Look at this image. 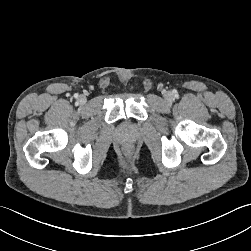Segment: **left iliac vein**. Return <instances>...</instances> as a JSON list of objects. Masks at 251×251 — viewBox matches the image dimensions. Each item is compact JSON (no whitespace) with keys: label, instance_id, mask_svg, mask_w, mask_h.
<instances>
[{"label":"left iliac vein","instance_id":"obj_1","mask_svg":"<svg viewBox=\"0 0 251 251\" xmlns=\"http://www.w3.org/2000/svg\"><path fill=\"white\" fill-rule=\"evenodd\" d=\"M164 97H165V99L166 100H171L172 99V94L170 93V92H166L165 94H164Z\"/></svg>","mask_w":251,"mask_h":251}]
</instances>
